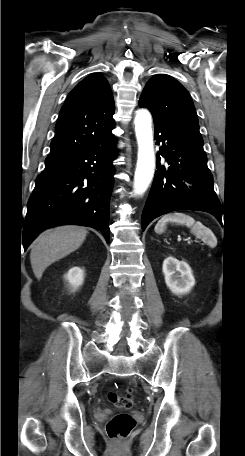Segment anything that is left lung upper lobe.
<instances>
[{
	"label": "left lung upper lobe",
	"instance_id": "obj_1",
	"mask_svg": "<svg viewBox=\"0 0 245 456\" xmlns=\"http://www.w3.org/2000/svg\"><path fill=\"white\" fill-rule=\"evenodd\" d=\"M139 106L148 108L155 121L174 126L203 142L191 96L173 77L153 76L144 87Z\"/></svg>",
	"mask_w": 245,
	"mask_h": 456
}]
</instances>
